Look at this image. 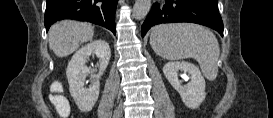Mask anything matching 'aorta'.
I'll return each instance as SVG.
<instances>
[{
	"mask_svg": "<svg viewBox=\"0 0 273 118\" xmlns=\"http://www.w3.org/2000/svg\"><path fill=\"white\" fill-rule=\"evenodd\" d=\"M151 8V0H136L133 7V17L137 20L144 19Z\"/></svg>",
	"mask_w": 273,
	"mask_h": 118,
	"instance_id": "1",
	"label": "aorta"
}]
</instances>
